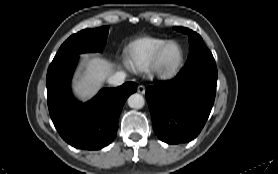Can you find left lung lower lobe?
Wrapping results in <instances>:
<instances>
[{"label":"left lung lower lobe","mask_w":278,"mask_h":174,"mask_svg":"<svg viewBox=\"0 0 278 174\" xmlns=\"http://www.w3.org/2000/svg\"><path fill=\"white\" fill-rule=\"evenodd\" d=\"M146 90L155 134L168 144L186 143L202 130L211 112L217 72L204 68L154 81Z\"/></svg>","instance_id":"obj_1"}]
</instances>
